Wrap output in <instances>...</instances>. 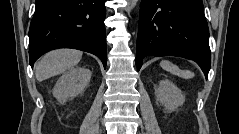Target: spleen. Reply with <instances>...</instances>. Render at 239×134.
<instances>
[{
    "mask_svg": "<svg viewBox=\"0 0 239 134\" xmlns=\"http://www.w3.org/2000/svg\"><path fill=\"white\" fill-rule=\"evenodd\" d=\"M160 66L170 72L173 75L180 76L185 79L192 78L194 76V73L188 70H181L177 65L173 64L172 62L168 60H162L160 62Z\"/></svg>",
    "mask_w": 239,
    "mask_h": 134,
    "instance_id": "1",
    "label": "spleen"
}]
</instances>
